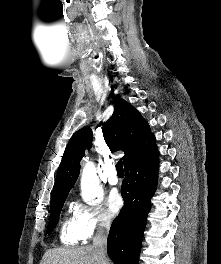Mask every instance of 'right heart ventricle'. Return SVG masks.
<instances>
[{"mask_svg":"<svg viewBox=\"0 0 221 264\" xmlns=\"http://www.w3.org/2000/svg\"><path fill=\"white\" fill-rule=\"evenodd\" d=\"M60 240L65 245H76L83 240L77 231L73 216L64 218L60 229Z\"/></svg>","mask_w":221,"mask_h":264,"instance_id":"right-heart-ventricle-1","label":"right heart ventricle"}]
</instances>
